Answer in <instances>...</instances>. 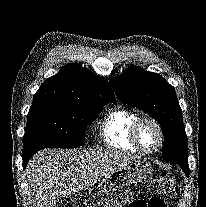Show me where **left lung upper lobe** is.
<instances>
[{
	"instance_id": "obj_1",
	"label": "left lung upper lobe",
	"mask_w": 206,
	"mask_h": 207,
	"mask_svg": "<svg viewBox=\"0 0 206 207\" xmlns=\"http://www.w3.org/2000/svg\"><path fill=\"white\" fill-rule=\"evenodd\" d=\"M110 84L124 104L147 112L160 123L163 158L177 163L188 176V140L174 87L159 74L133 65L122 75L111 78Z\"/></svg>"
}]
</instances>
